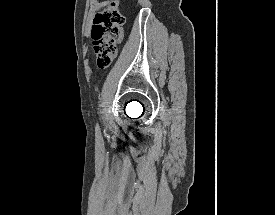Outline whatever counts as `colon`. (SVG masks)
Listing matches in <instances>:
<instances>
[{
	"label": "colon",
	"mask_w": 275,
	"mask_h": 215,
	"mask_svg": "<svg viewBox=\"0 0 275 215\" xmlns=\"http://www.w3.org/2000/svg\"><path fill=\"white\" fill-rule=\"evenodd\" d=\"M124 24L125 17L121 13L119 0H108L106 6L96 14L91 37L100 67L109 66L114 61L123 39Z\"/></svg>",
	"instance_id": "obj_1"
}]
</instances>
